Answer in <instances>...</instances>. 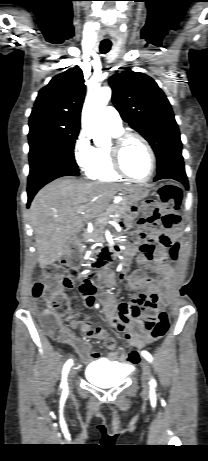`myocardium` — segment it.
<instances>
[{"label":"myocardium","mask_w":208,"mask_h":461,"mask_svg":"<svg viewBox=\"0 0 208 461\" xmlns=\"http://www.w3.org/2000/svg\"><path fill=\"white\" fill-rule=\"evenodd\" d=\"M133 138L139 140L140 142H142V144L147 149L149 157H150V171H149L148 175L143 179L135 178V177L131 176L130 174H128L127 171L125 170L124 166H123V163H122L123 149H124L125 145L127 144V142L130 139H133ZM109 152H110L112 166H113L114 170L120 176H122L124 178H127V179H129V180H131L133 182H137V183L148 182L153 177V175L155 173V170H156L155 153H154V150H153L151 144L149 143V141L144 136H142L141 134H139L137 132H122L121 134L116 136L114 138V140L112 141V143L110 144Z\"/></svg>","instance_id":"1"}]
</instances>
